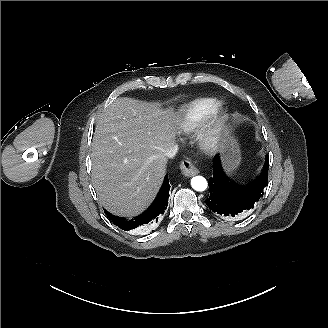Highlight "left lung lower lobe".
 <instances>
[{
	"mask_svg": "<svg viewBox=\"0 0 328 328\" xmlns=\"http://www.w3.org/2000/svg\"><path fill=\"white\" fill-rule=\"evenodd\" d=\"M269 156L260 175L246 184H238L225 174L219 154L214 157L213 176L209 179L210 196L206 205L223 218L247 215L263 195L268 183Z\"/></svg>",
	"mask_w": 328,
	"mask_h": 328,
	"instance_id": "1",
	"label": "left lung lower lobe"
}]
</instances>
